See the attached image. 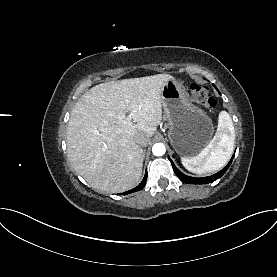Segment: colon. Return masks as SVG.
Returning <instances> with one entry per match:
<instances>
[{
  "mask_svg": "<svg viewBox=\"0 0 277 277\" xmlns=\"http://www.w3.org/2000/svg\"><path fill=\"white\" fill-rule=\"evenodd\" d=\"M190 94L195 103L200 104L209 110H213L216 107V100L209 95L206 87L193 82L190 84Z\"/></svg>",
  "mask_w": 277,
  "mask_h": 277,
  "instance_id": "obj_1",
  "label": "colon"
}]
</instances>
